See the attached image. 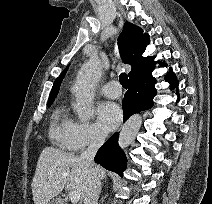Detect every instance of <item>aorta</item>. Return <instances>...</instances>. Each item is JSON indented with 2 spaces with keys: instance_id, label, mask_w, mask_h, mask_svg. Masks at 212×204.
<instances>
[{
  "instance_id": "762f6f07",
  "label": "aorta",
  "mask_w": 212,
  "mask_h": 204,
  "mask_svg": "<svg viewBox=\"0 0 212 204\" xmlns=\"http://www.w3.org/2000/svg\"><path fill=\"white\" fill-rule=\"evenodd\" d=\"M102 64L98 57H91L80 68L72 93L75 96L73 109L80 121L87 122L93 116L94 89L100 80ZM142 117L133 115L124 124L119 135V145L122 148L129 146L135 139L140 126Z\"/></svg>"
}]
</instances>
